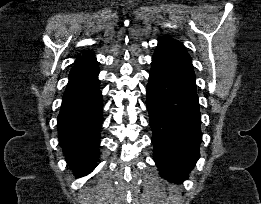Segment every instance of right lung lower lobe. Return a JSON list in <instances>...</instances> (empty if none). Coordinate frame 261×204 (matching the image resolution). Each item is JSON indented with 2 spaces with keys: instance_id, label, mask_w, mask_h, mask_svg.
Instances as JSON below:
<instances>
[{
  "instance_id": "98d812e1",
  "label": "right lung lower lobe",
  "mask_w": 261,
  "mask_h": 204,
  "mask_svg": "<svg viewBox=\"0 0 261 204\" xmlns=\"http://www.w3.org/2000/svg\"><path fill=\"white\" fill-rule=\"evenodd\" d=\"M98 73L96 58L74 65L58 115L59 141L77 177L90 173L99 157L103 104Z\"/></svg>"
}]
</instances>
